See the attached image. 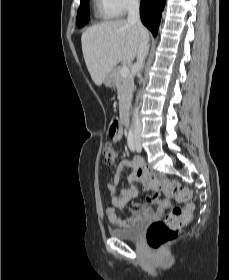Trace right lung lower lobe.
Instances as JSON below:
<instances>
[{
  "instance_id": "98d812e1",
  "label": "right lung lower lobe",
  "mask_w": 229,
  "mask_h": 280,
  "mask_svg": "<svg viewBox=\"0 0 229 280\" xmlns=\"http://www.w3.org/2000/svg\"><path fill=\"white\" fill-rule=\"evenodd\" d=\"M165 1L166 0H142L141 2V20L154 36L157 35L161 12L164 8Z\"/></svg>"
}]
</instances>
